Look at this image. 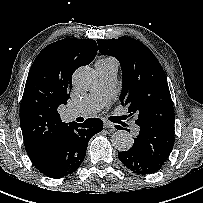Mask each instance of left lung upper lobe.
Returning <instances> with one entry per match:
<instances>
[{"instance_id":"obj_1","label":"left lung upper lobe","mask_w":203,"mask_h":203,"mask_svg":"<svg viewBox=\"0 0 203 203\" xmlns=\"http://www.w3.org/2000/svg\"><path fill=\"white\" fill-rule=\"evenodd\" d=\"M102 55L114 56L122 68L120 101L140 127L174 131V108L167 78L155 55L130 37L97 40Z\"/></svg>"}]
</instances>
